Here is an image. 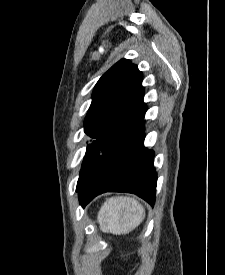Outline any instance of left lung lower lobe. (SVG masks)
I'll use <instances>...</instances> for the list:
<instances>
[{
  "mask_svg": "<svg viewBox=\"0 0 225 275\" xmlns=\"http://www.w3.org/2000/svg\"><path fill=\"white\" fill-rule=\"evenodd\" d=\"M144 116L96 163L87 179L77 186L80 204L86 206L104 192H128L155 203L157 174L154 152L144 147Z\"/></svg>",
  "mask_w": 225,
  "mask_h": 275,
  "instance_id": "0a47b994",
  "label": "left lung lower lobe"
}]
</instances>
